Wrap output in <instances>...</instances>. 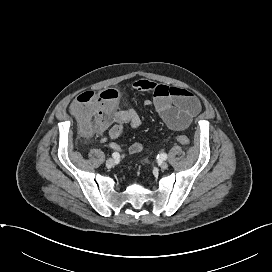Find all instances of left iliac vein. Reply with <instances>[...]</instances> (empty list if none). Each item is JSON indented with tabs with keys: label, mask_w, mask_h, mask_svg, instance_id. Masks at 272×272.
<instances>
[{
	"label": "left iliac vein",
	"mask_w": 272,
	"mask_h": 272,
	"mask_svg": "<svg viewBox=\"0 0 272 272\" xmlns=\"http://www.w3.org/2000/svg\"><path fill=\"white\" fill-rule=\"evenodd\" d=\"M159 166H160V168H161L162 170H165V169L168 168V164H167V162H165V161L161 162Z\"/></svg>",
	"instance_id": "obj_1"
}]
</instances>
